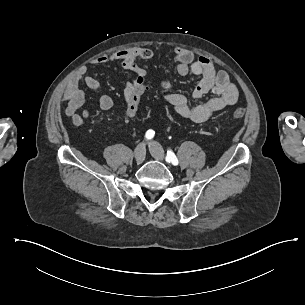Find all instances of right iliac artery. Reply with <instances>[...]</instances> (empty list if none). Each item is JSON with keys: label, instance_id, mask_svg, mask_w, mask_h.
<instances>
[{"label": "right iliac artery", "instance_id": "82829eb1", "mask_svg": "<svg viewBox=\"0 0 305 305\" xmlns=\"http://www.w3.org/2000/svg\"><path fill=\"white\" fill-rule=\"evenodd\" d=\"M154 134H155V132L153 131V130H148L147 132H146V135H145V137L147 138V139H151V138H153L154 137Z\"/></svg>", "mask_w": 305, "mask_h": 305}]
</instances>
